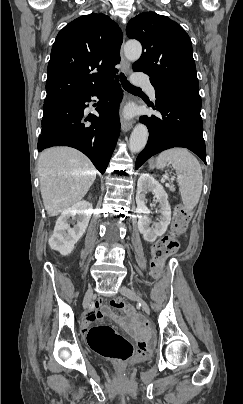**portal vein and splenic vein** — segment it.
Wrapping results in <instances>:
<instances>
[{
  "mask_svg": "<svg viewBox=\"0 0 243 404\" xmlns=\"http://www.w3.org/2000/svg\"><path fill=\"white\" fill-rule=\"evenodd\" d=\"M166 178H167V175H164V178L161 180V183H162L163 186L168 185V182H167Z\"/></svg>",
  "mask_w": 243,
  "mask_h": 404,
  "instance_id": "1",
  "label": "portal vein and splenic vein"
}]
</instances>
